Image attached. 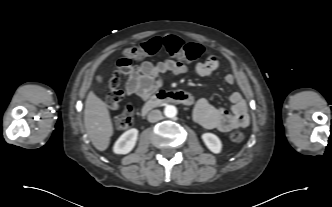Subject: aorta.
Instances as JSON below:
<instances>
[{
  "instance_id": "762f6f07",
  "label": "aorta",
  "mask_w": 332,
  "mask_h": 207,
  "mask_svg": "<svg viewBox=\"0 0 332 207\" xmlns=\"http://www.w3.org/2000/svg\"><path fill=\"white\" fill-rule=\"evenodd\" d=\"M164 114L168 118H173L177 115V108L173 105H167L164 109Z\"/></svg>"
}]
</instances>
